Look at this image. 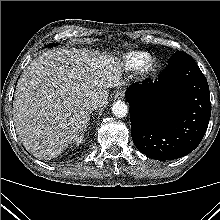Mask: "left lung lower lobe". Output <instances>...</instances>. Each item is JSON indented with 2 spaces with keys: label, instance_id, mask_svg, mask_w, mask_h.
Wrapping results in <instances>:
<instances>
[{
  "label": "left lung lower lobe",
  "instance_id": "left-lung-lower-lobe-1",
  "mask_svg": "<svg viewBox=\"0 0 220 220\" xmlns=\"http://www.w3.org/2000/svg\"><path fill=\"white\" fill-rule=\"evenodd\" d=\"M125 97L131 136L141 153L173 160L200 144L211 116L209 86L187 53L176 51L157 81L135 83Z\"/></svg>",
  "mask_w": 220,
  "mask_h": 220
}]
</instances>
